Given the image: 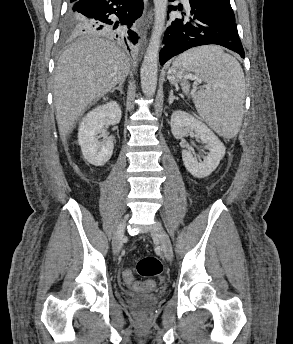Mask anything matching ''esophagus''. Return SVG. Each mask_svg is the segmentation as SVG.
Masks as SVG:
<instances>
[{
    "mask_svg": "<svg viewBox=\"0 0 293 344\" xmlns=\"http://www.w3.org/2000/svg\"><path fill=\"white\" fill-rule=\"evenodd\" d=\"M144 19H145V21L147 22V19H148L147 11L144 12Z\"/></svg>",
    "mask_w": 293,
    "mask_h": 344,
    "instance_id": "1",
    "label": "esophagus"
}]
</instances>
